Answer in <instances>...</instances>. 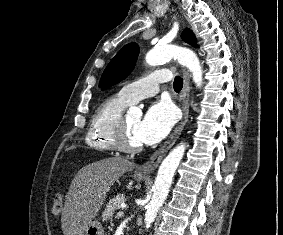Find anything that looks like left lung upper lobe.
<instances>
[{
    "instance_id": "5c2ea615",
    "label": "left lung upper lobe",
    "mask_w": 283,
    "mask_h": 235,
    "mask_svg": "<svg viewBox=\"0 0 283 235\" xmlns=\"http://www.w3.org/2000/svg\"><path fill=\"white\" fill-rule=\"evenodd\" d=\"M182 39L189 44H195L194 34L185 29L182 33ZM139 54V46L136 43L125 45L111 60L103 72L99 86L102 90L111 87L125 79L135 66Z\"/></svg>"
}]
</instances>
